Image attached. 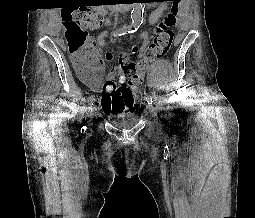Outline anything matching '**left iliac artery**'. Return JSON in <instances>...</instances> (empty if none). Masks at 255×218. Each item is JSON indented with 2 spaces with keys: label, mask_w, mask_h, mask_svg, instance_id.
Returning <instances> with one entry per match:
<instances>
[{
  "label": "left iliac artery",
  "mask_w": 255,
  "mask_h": 218,
  "mask_svg": "<svg viewBox=\"0 0 255 218\" xmlns=\"http://www.w3.org/2000/svg\"><path fill=\"white\" fill-rule=\"evenodd\" d=\"M147 102H148V104H152V102H153V101H152V97H150V96L147 97Z\"/></svg>",
  "instance_id": "44dca946"
}]
</instances>
